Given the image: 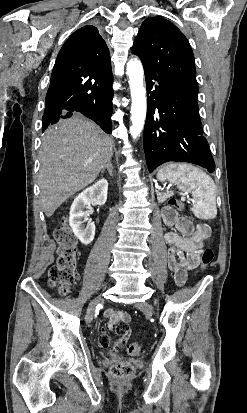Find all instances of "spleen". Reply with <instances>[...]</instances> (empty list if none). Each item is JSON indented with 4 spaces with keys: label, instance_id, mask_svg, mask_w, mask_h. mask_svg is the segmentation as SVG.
I'll return each instance as SVG.
<instances>
[{
    "label": "spleen",
    "instance_id": "obj_1",
    "mask_svg": "<svg viewBox=\"0 0 247 413\" xmlns=\"http://www.w3.org/2000/svg\"><path fill=\"white\" fill-rule=\"evenodd\" d=\"M158 180H170L175 182L180 190L184 192H192L193 198L197 200L194 211H198L200 204H204V209L201 213H204L208 219H211L212 215H216V188L215 184L204 170L197 168V166H190V168H179L176 172V176H173L169 166H163L158 170Z\"/></svg>",
    "mask_w": 247,
    "mask_h": 413
}]
</instances>
